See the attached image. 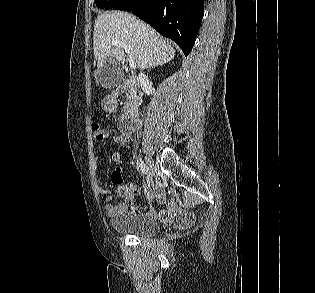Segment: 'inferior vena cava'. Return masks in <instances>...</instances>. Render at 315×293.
I'll list each match as a JSON object with an SVG mask.
<instances>
[{
	"mask_svg": "<svg viewBox=\"0 0 315 293\" xmlns=\"http://www.w3.org/2000/svg\"><path fill=\"white\" fill-rule=\"evenodd\" d=\"M141 77H145L143 73L140 74Z\"/></svg>",
	"mask_w": 315,
	"mask_h": 293,
	"instance_id": "obj_1",
	"label": "inferior vena cava"
}]
</instances>
